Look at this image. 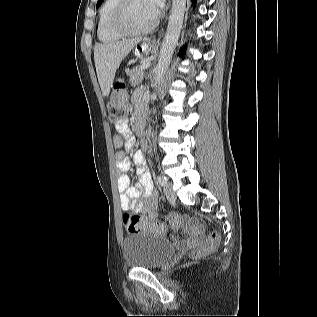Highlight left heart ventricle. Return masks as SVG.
Segmentation results:
<instances>
[{
    "label": "left heart ventricle",
    "instance_id": "obj_1",
    "mask_svg": "<svg viewBox=\"0 0 317 317\" xmlns=\"http://www.w3.org/2000/svg\"><path fill=\"white\" fill-rule=\"evenodd\" d=\"M156 15L149 0H131L126 22L133 29H141L148 26Z\"/></svg>",
    "mask_w": 317,
    "mask_h": 317
}]
</instances>
